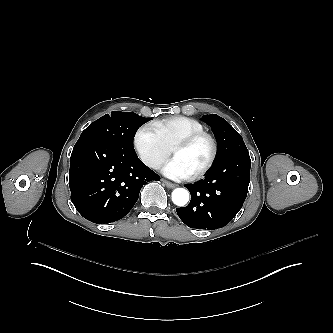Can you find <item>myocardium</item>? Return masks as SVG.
<instances>
[{
  "instance_id": "obj_1",
  "label": "myocardium",
  "mask_w": 333,
  "mask_h": 333,
  "mask_svg": "<svg viewBox=\"0 0 333 333\" xmlns=\"http://www.w3.org/2000/svg\"><path fill=\"white\" fill-rule=\"evenodd\" d=\"M202 140L208 141L210 145V155L207 161L188 178L189 180H196L201 178L213 166L218 155V146L216 140L212 135L206 132H200L183 138L171 148L170 154L179 148L191 147Z\"/></svg>"
}]
</instances>
